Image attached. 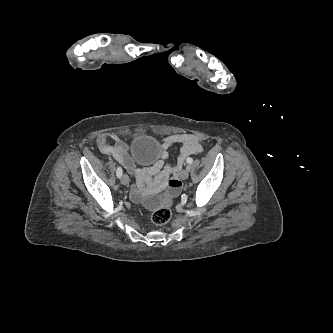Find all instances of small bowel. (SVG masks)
<instances>
[{"label":"small bowel","instance_id":"small-bowel-1","mask_svg":"<svg viewBox=\"0 0 333 333\" xmlns=\"http://www.w3.org/2000/svg\"><path fill=\"white\" fill-rule=\"evenodd\" d=\"M110 140L113 142L112 144L109 142ZM174 144L180 146V154L176 162L170 164L167 161V150ZM97 145L102 154L116 160L132 175L135 183L130 191L131 199L135 202H143L145 204H151L153 202L151 197H149L145 191V184H168L174 192L177 191L181 185L178 176L185 165L186 159L203 150L199 137L195 134L182 133L165 136L162 139V153L160 159L151 169L144 170L128 156L127 144L117 135H107L102 133L97 138ZM154 173H159L156 181L152 178Z\"/></svg>","mask_w":333,"mask_h":333}]
</instances>
